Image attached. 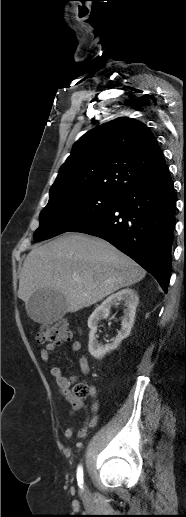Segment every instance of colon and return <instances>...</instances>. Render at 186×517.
I'll use <instances>...</instances> for the list:
<instances>
[{
  "label": "colon",
  "mask_w": 186,
  "mask_h": 517,
  "mask_svg": "<svg viewBox=\"0 0 186 517\" xmlns=\"http://www.w3.org/2000/svg\"><path fill=\"white\" fill-rule=\"evenodd\" d=\"M70 336L68 323L60 321L55 324H44L36 333V340L39 343H56L63 341ZM74 396L78 399H85L92 394L90 387L84 383H78L73 389Z\"/></svg>",
  "instance_id": "colon-1"
}]
</instances>
